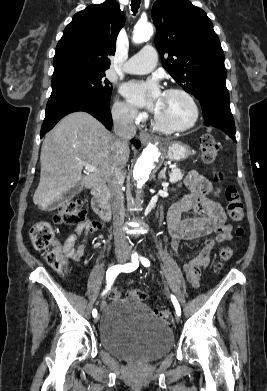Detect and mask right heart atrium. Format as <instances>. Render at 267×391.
Listing matches in <instances>:
<instances>
[{"instance_id": "right-heart-atrium-1", "label": "right heart atrium", "mask_w": 267, "mask_h": 391, "mask_svg": "<svg viewBox=\"0 0 267 391\" xmlns=\"http://www.w3.org/2000/svg\"><path fill=\"white\" fill-rule=\"evenodd\" d=\"M112 117L119 124L133 125L143 121L146 116L145 114L138 112L129 103L122 100H116L112 107Z\"/></svg>"}]
</instances>
